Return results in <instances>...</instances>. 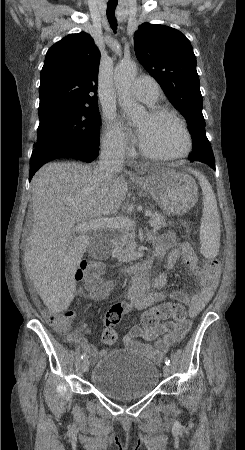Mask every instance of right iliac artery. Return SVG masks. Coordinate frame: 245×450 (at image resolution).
<instances>
[{
  "mask_svg": "<svg viewBox=\"0 0 245 450\" xmlns=\"http://www.w3.org/2000/svg\"><path fill=\"white\" fill-rule=\"evenodd\" d=\"M86 358V352H83L81 355V359H85Z\"/></svg>",
  "mask_w": 245,
  "mask_h": 450,
  "instance_id": "1",
  "label": "right iliac artery"
}]
</instances>
